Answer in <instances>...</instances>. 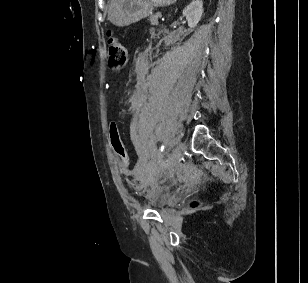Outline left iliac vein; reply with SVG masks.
Segmentation results:
<instances>
[{"label": "left iliac vein", "mask_w": 308, "mask_h": 283, "mask_svg": "<svg viewBox=\"0 0 308 283\" xmlns=\"http://www.w3.org/2000/svg\"><path fill=\"white\" fill-rule=\"evenodd\" d=\"M186 151V144L184 142H179L174 153H173V164H177L181 158L184 156Z\"/></svg>", "instance_id": "1"}]
</instances>
